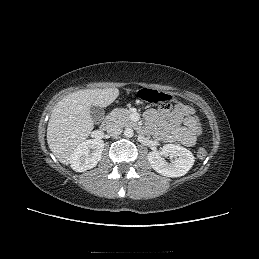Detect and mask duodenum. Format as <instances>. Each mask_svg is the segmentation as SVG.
<instances>
[{
	"instance_id": "1",
	"label": "duodenum",
	"mask_w": 259,
	"mask_h": 259,
	"mask_svg": "<svg viewBox=\"0 0 259 259\" xmlns=\"http://www.w3.org/2000/svg\"><path fill=\"white\" fill-rule=\"evenodd\" d=\"M113 124V120L111 116H108L104 119V121L101 123L100 129L102 131L108 130Z\"/></svg>"
}]
</instances>
